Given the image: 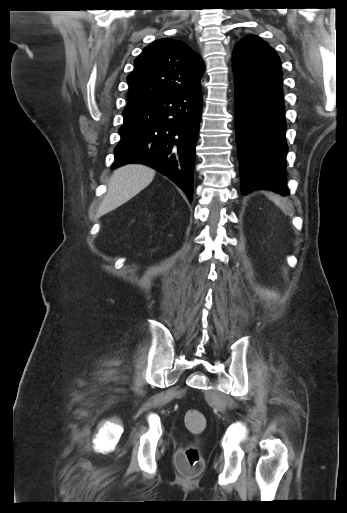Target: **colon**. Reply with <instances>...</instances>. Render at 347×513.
<instances>
[{"mask_svg": "<svg viewBox=\"0 0 347 513\" xmlns=\"http://www.w3.org/2000/svg\"><path fill=\"white\" fill-rule=\"evenodd\" d=\"M184 422L187 429L195 435L201 434L206 427L205 416L195 409L185 413ZM176 465L179 473L185 478H194L199 475L203 467V458L197 441L180 451L176 458Z\"/></svg>", "mask_w": 347, "mask_h": 513, "instance_id": "5ec220e1", "label": "colon"}]
</instances>
